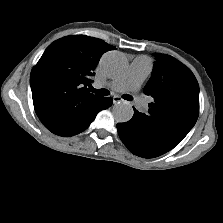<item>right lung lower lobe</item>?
Instances as JSON below:
<instances>
[{"label": "right lung lower lobe", "instance_id": "98d812e1", "mask_svg": "<svg viewBox=\"0 0 223 223\" xmlns=\"http://www.w3.org/2000/svg\"><path fill=\"white\" fill-rule=\"evenodd\" d=\"M111 104H112V99L111 98L101 97V99L99 100L98 104L96 105L95 110L93 111V115L82 126H80L77 129H74L72 131H67V132L52 131V130H51V132L56 134V135H59V136H72V135L78 134V133H80V132H82V131H84L85 129L88 128L90 123L95 119V117H96L98 112H100L101 110L107 109L108 107L111 106Z\"/></svg>", "mask_w": 223, "mask_h": 223}]
</instances>
